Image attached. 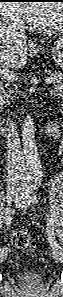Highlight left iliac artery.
Segmentation results:
<instances>
[{
	"label": "left iliac artery",
	"mask_w": 63,
	"mask_h": 297,
	"mask_svg": "<svg viewBox=\"0 0 63 297\" xmlns=\"http://www.w3.org/2000/svg\"><path fill=\"white\" fill-rule=\"evenodd\" d=\"M38 199L39 198L33 194L32 188H28L25 191L20 192L16 196L15 202L19 207L24 208L26 207L27 204L30 205L31 203L34 204L38 202ZM53 232H54V224H53L52 218L50 217V215H48L47 216V233L49 236V241L53 248H57L59 247V245L52 237Z\"/></svg>",
	"instance_id": "1"
}]
</instances>
